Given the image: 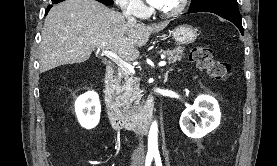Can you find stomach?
Masks as SVG:
<instances>
[{"label": "stomach", "mask_w": 277, "mask_h": 166, "mask_svg": "<svg viewBox=\"0 0 277 166\" xmlns=\"http://www.w3.org/2000/svg\"><path fill=\"white\" fill-rule=\"evenodd\" d=\"M197 37V30L190 25H180L172 32V38L174 41L182 45L193 43Z\"/></svg>", "instance_id": "stomach-1"}]
</instances>
